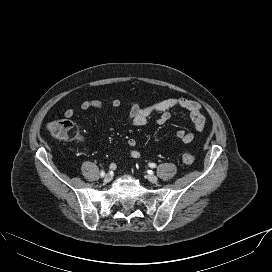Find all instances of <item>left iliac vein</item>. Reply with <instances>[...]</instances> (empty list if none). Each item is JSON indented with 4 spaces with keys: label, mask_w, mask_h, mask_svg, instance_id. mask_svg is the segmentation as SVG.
<instances>
[{
    "label": "left iliac vein",
    "mask_w": 272,
    "mask_h": 272,
    "mask_svg": "<svg viewBox=\"0 0 272 272\" xmlns=\"http://www.w3.org/2000/svg\"><path fill=\"white\" fill-rule=\"evenodd\" d=\"M147 179L151 182V183H156L158 181V178L155 175H148Z\"/></svg>",
    "instance_id": "obj_1"
}]
</instances>
